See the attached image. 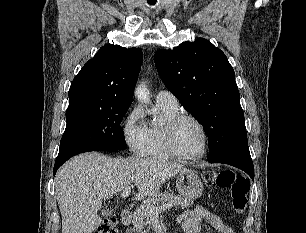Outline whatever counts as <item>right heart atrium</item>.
<instances>
[{
  "label": "right heart atrium",
  "instance_id": "right-heart-atrium-1",
  "mask_svg": "<svg viewBox=\"0 0 306 233\" xmlns=\"http://www.w3.org/2000/svg\"><path fill=\"white\" fill-rule=\"evenodd\" d=\"M122 134L126 145L133 155H147L148 127L144 122L142 110L134 107L125 117Z\"/></svg>",
  "mask_w": 306,
  "mask_h": 233
}]
</instances>
